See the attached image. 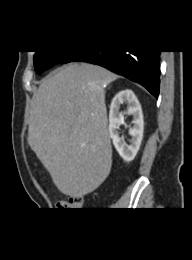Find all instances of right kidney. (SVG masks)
Masks as SVG:
<instances>
[{
  "instance_id": "1",
  "label": "right kidney",
  "mask_w": 192,
  "mask_h": 260,
  "mask_svg": "<svg viewBox=\"0 0 192 260\" xmlns=\"http://www.w3.org/2000/svg\"><path fill=\"white\" fill-rule=\"evenodd\" d=\"M128 103L127 113L133 116L134 126L129 129V135L132 137L130 145H126L124 138L119 135V127L123 123V112L120 111V105ZM144 121L141 105L131 90L119 92L112 100L109 112V135L113 141L119 155L126 162L132 161L141 145L143 138Z\"/></svg>"
}]
</instances>
